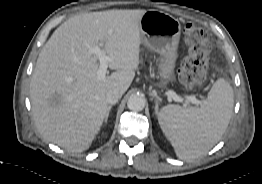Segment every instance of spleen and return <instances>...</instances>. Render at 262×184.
Returning a JSON list of instances; mask_svg holds the SVG:
<instances>
[{"label": "spleen", "mask_w": 262, "mask_h": 184, "mask_svg": "<svg viewBox=\"0 0 262 184\" xmlns=\"http://www.w3.org/2000/svg\"><path fill=\"white\" fill-rule=\"evenodd\" d=\"M233 104L231 85L219 78L200 107L164 106L158 121L177 157L192 160L206 154L226 131Z\"/></svg>", "instance_id": "spleen-1"}]
</instances>
